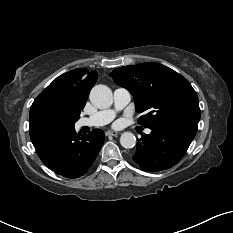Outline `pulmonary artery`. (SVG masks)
<instances>
[{
	"instance_id": "obj_1",
	"label": "pulmonary artery",
	"mask_w": 233,
	"mask_h": 233,
	"mask_svg": "<svg viewBox=\"0 0 233 233\" xmlns=\"http://www.w3.org/2000/svg\"><path fill=\"white\" fill-rule=\"evenodd\" d=\"M131 100V94L126 88H117L113 93V106L111 108L98 111L89 117L81 118L78 122L80 127H99L110 123L117 112L122 110ZM147 134H150L151 130L146 129Z\"/></svg>"
}]
</instances>
